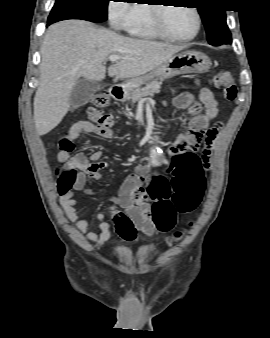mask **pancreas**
<instances>
[{"instance_id": "cf45deb5", "label": "pancreas", "mask_w": 270, "mask_h": 338, "mask_svg": "<svg viewBox=\"0 0 270 338\" xmlns=\"http://www.w3.org/2000/svg\"><path fill=\"white\" fill-rule=\"evenodd\" d=\"M161 81L154 80L149 83L143 88H137L131 93L127 94V100L131 101L132 103L137 102L142 98H146L148 96H153L160 92L161 88Z\"/></svg>"}]
</instances>
